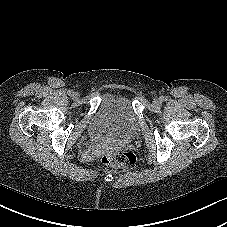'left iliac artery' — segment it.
Segmentation results:
<instances>
[{
    "mask_svg": "<svg viewBox=\"0 0 227 227\" xmlns=\"http://www.w3.org/2000/svg\"><path fill=\"white\" fill-rule=\"evenodd\" d=\"M167 99L165 97H161V101H166Z\"/></svg>",
    "mask_w": 227,
    "mask_h": 227,
    "instance_id": "1",
    "label": "left iliac artery"
}]
</instances>
